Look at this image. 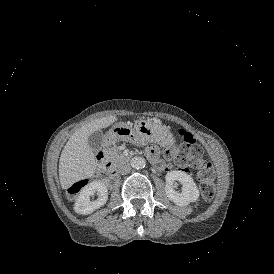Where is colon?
Returning <instances> with one entry per match:
<instances>
[{"mask_svg":"<svg viewBox=\"0 0 274 274\" xmlns=\"http://www.w3.org/2000/svg\"><path fill=\"white\" fill-rule=\"evenodd\" d=\"M197 148V146L181 141V143L167 148L164 151V157L171 160L176 168H184L186 166L195 168L200 181L201 195L204 199L211 200L215 195L214 169L209 162L197 157ZM89 180L88 175H81L79 180H71L67 189L68 194L74 195L80 189H88Z\"/></svg>","mask_w":274,"mask_h":274,"instance_id":"colon-1","label":"colon"}]
</instances>
